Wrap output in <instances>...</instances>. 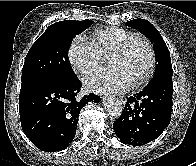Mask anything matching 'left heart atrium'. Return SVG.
<instances>
[{
    "mask_svg": "<svg viewBox=\"0 0 196 166\" xmlns=\"http://www.w3.org/2000/svg\"><path fill=\"white\" fill-rule=\"evenodd\" d=\"M84 83L93 92H125L134 84L120 68L96 70L85 77Z\"/></svg>",
    "mask_w": 196,
    "mask_h": 166,
    "instance_id": "obj_1",
    "label": "left heart atrium"
}]
</instances>
